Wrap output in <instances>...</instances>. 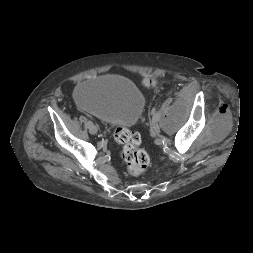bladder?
Instances as JSON below:
<instances>
[{
  "mask_svg": "<svg viewBox=\"0 0 253 253\" xmlns=\"http://www.w3.org/2000/svg\"><path fill=\"white\" fill-rule=\"evenodd\" d=\"M74 98L84 110L104 123L130 127L142 115L145 97L129 79L121 76H98L84 80L74 89Z\"/></svg>",
  "mask_w": 253,
  "mask_h": 253,
  "instance_id": "31cf9c89",
  "label": "bladder"
}]
</instances>
